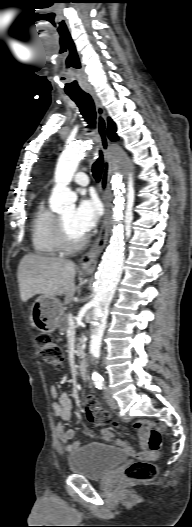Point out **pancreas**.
Returning a JSON list of instances; mask_svg holds the SVG:
<instances>
[{"instance_id": "obj_1", "label": "pancreas", "mask_w": 192, "mask_h": 527, "mask_svg": "<svg viewBox=\"0 0 192 527\" xmlns=\"http://www.w3.org/2000/svg\"><path fill=\"white\" fill-rule=\"evenodd\" d=\"M68 318H69V315H68V314H64V315L61 317V319H60V323H59V326H58L59 329H60V331H62V332L67 331L68 326H69ZM79 340L81 341L82 339H79Z\"/></svg>"}]
</instances>
